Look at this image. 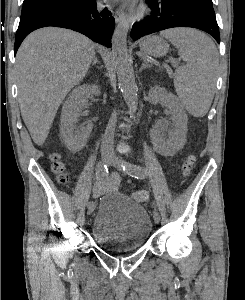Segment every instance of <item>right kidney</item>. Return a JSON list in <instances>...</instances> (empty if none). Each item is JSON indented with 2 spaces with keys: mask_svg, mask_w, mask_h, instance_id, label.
<instances>
[{
  "mask_svg": "<svg viewBox=\"0 0 245 300\" xmlns=\"http://www.w3.org/2000/svg\"><path fill=\"white\" fill-rule=\"evenodd\" d=\"M97 85H82L77 87L65 101L61 113V137L66 147L71 151H80L87 142L93 129L92 123L77 126L81 111L87 106L90 95H99Z\"/></svg>",
  "mask_w": 245,
  "mask_h": 300,
  "instance_id": "ca27d5eb",
  "label": "right kidney"
}]
</instances>
